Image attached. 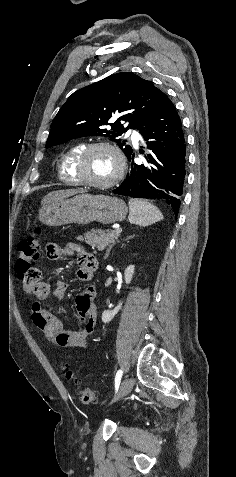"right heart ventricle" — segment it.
I'll use <instances>...</instances> for the list:
<instances>
[{
  "label": "right heart ventricle",
  "instance_id": "right-heart-ventricle-1",
  "mask_svg": "<svg viewBox=\"0 0 236 477\" xmlns=\"http://www.w3.org/2000/svg\"><path fill=\"white\" fill-rule=\"evenodd\" d=\"M83 144H76L68 148L62 155L58 164V176L61 181L69 185H80L74 165L78 154L83 149Z\"/></svg>",
  "mask_w": 236,
  "mask_h": 477
}]
</instances>
